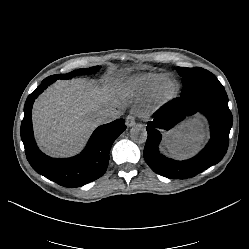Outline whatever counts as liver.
I'll use <instances>...</instances> for the list:
<instances>
[{
    "instance_id": "1",
    "label": "liver",
    "mask_w": 249,
    "mask_h": 249,
    "mask_svg": "<svg viewBox=\"0 0 249 249\" xmlns=\"http://www.w3.org/2000/svg\"><path fill=\"white\" fill-rule=\"evenodd\" d=\"M110 86L115 84L98 85L81 78L59 81L49 88L36 101L33 110L34 128L41 147L57 156L78 151L98 125L97 113L119 108L118 101L110 94ZM203 137H207L203 127L189 122L166 133V145L173 155L183 158L200 147Z\"/></svg>"
}]
</instances>
